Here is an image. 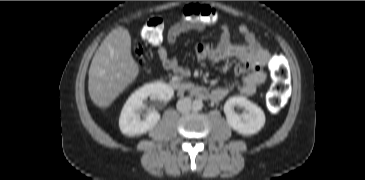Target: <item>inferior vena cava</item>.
Segmentation results:
<instances>
[{
  "label": "inferior vena cava",
  "instance_id": "inferior-vena-cava-1",
  "mask_svg": "<svg viewBox=\"0 0 365 180\" xmlns=\"http://www.w3.org/2000/svg\"><path fill=\"white\" fill-rule=\"evenodd\" d=\"M191 105V99L185 97L178 100L176 107L179 112H187L191 109Z\"/></svg>",
  "mask_w": 365,
  "mask_h": 180
}]
</instances>
